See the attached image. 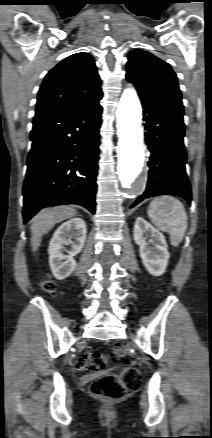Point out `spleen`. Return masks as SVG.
Returning <instances> with one entry per match:
<instances>
[{
    "label": "spleen",
    "mask_w": 212,
    "mask_h": 438,
    "mask_svg": "<svg viewBox=\"0 0 212 438\" xmlns=\"http://www.w3.org/2000/svg\"><path fill=\"white\" fill-rule=\"evenodd\" d=\"M148 216L160 230L170 234V243L177 247L187 230V213L184 205L172 196L154 198L148 207Z\"/></svg>",
    "instance_id": "spleen-1"
}]
</instances>
